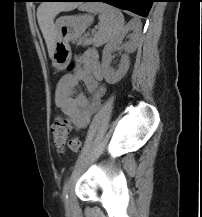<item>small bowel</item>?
I'll use <instances>...</instances> for the list:
<instances>
[{"label": "small bowel", "instance_id": "small-bowel-1", "mask_svg": "<svg viewBox=\"0 0 202 217\" xmlns=\"http://www.w3.org/2000/svg\"><path fill=\"white\" fill-rule=\"evenodd\" d=\"M102 79L99 57L96 52L88 51L77 59L75 72L66 74L59 80L55 90V102L74 128H86L101 105L106 92L105 86L100 84ZM80 82H83L90 92V99L78 90Z\"/></svg>", "mask_w": 202, "mask_h": 217}]
</instances>
